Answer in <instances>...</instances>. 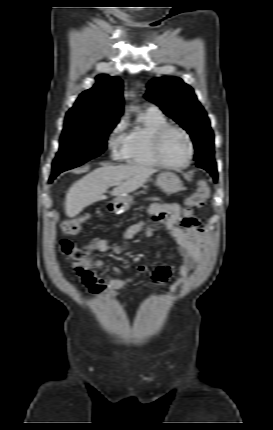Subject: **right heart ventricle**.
Listing matches in <instances>:
<instances>
[{
    "instance_id": "right-heart-ventricle-1",
    "label": "right heart ventricle",
    "mask_w": 273,
    "mask_h": 430,
    "mask_svg": "<svg viewBox=\"0 0 273 430\" xmlns=\"http://www.w3.org/2000/svg\"><path fill=\"white\" fill-rule=\"evenodd\" d=\"M166 124V117L157 109L150 108L140 113L135 124L125 134V161L137 167H158L153 155L152 141L155 132Z\"/></svg>"
}]
</instances>
